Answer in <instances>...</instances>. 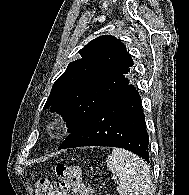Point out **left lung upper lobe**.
<instances>
[{
	"instance_id": "1",
	"label": "left lung upper lobe",
	"mask_w": 189,
	"mask_h": 195,
	"mask_svg": "<svg viewBox=\"0 0 189 195\" xmlns=\"http://www.w3.org/2000/svg\"><path fill=\"white\" fill-rule=\"evenodd\" d=\"M54 83L44 109L58 112L72 133L110 96L130 83L133 66L125 45L110 35L90 41Z\"/></svg>"
}]
</instances>
